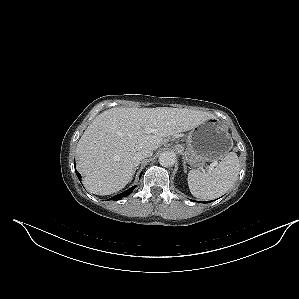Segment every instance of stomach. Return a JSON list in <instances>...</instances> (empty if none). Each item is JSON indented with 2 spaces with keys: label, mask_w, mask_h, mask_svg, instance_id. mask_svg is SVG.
<instances>
[{
  "label": "stomach",
  "mask_w": 299,
  "mask_h": 299,
  "mask_svg": "<svg viewBox=\"0 0 299 299\" xmlns=\"http://www.w3.org/2000/svg\"><path fill=\"white\" fill-rule=\"evenodd\" d=\"M186 142V160L193 167L221 160L232 148L229 133L216 118L191 129Z\"/></svg>",
  "instance_id": "1"
}]
</instances>
